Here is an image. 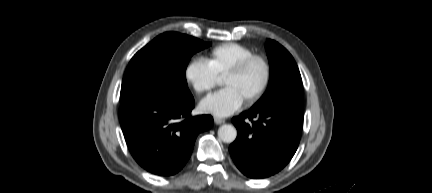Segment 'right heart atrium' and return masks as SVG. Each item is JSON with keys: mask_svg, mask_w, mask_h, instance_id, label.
<instances>
[{"mask_svg": "<svg viewBox=\"0 0 432 193\" xmlns=\"http://www.w3.org/2000/svg\"><path fill=\"white\" fill-rule=\"evenodd\" d=\"M186 76L196 92L208 94L219 83L208 65L202 62L190 64Z\"/></svg>", "mask_w": 432, "mask_h": 193, "instance_id": "d8ad5b80", "label": "right heart atrium"}]
</instances>
